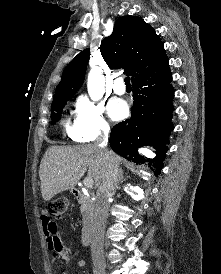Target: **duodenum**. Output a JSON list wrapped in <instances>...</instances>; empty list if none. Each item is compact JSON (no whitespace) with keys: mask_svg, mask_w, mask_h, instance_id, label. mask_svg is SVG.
I'll list each match as a JSON object with an SVG mask.
<instances>
[{"mask_svg":"<svg viewBox=\"0 0 221 274\" xmlns=\"http://www.w3.org/2000/svg\"><path fill=\"white\" fill-rule=\"evenodd\" d=\"M73 194L79 203L87 205V210L84 213V227L80 239L82 245L86 246L89 244L91 239V232L95 217V209L92 200L81 190L74 189Z\"/></svg>","mask_w":221,"mask_h":274,"instance_id":"obj_1","label":"duodenum"}]
</instances>
